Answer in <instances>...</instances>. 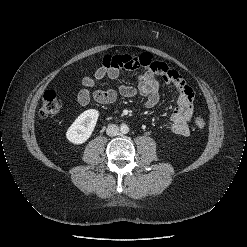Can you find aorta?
<instances>
[{"label":"aorta","mask_w":247,"mask_h":247,"mask_svg":"<svg viewBox=\"0 0 247 247\" xmlns=\"http://www.w3.org/2000/svg\"><path fill=\"white\" fill-rule=\"evenodd\" d=\"M120 132L122 134H127L129 132V127L126 124L120 126Z\"/></svg>","instance_id":"aorta-1"}]
</instances>
